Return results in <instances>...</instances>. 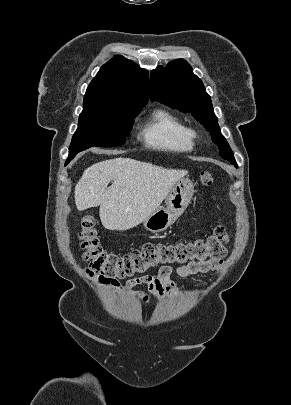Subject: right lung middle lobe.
<instances>
[{"label":"right lung middle lobe","mask_w":291,"mask_h":405,"mask_svg":"<svg viewBox=\"0 0 291 405\" xmlns=\"http://www.w3.org/2000/svg\"><path fill=\"white\" fill-rule=\"evenodd\" d=\"M141 108L126 109L119 107L83 108L79 116L78 128L69 147L66 164L75 155L92 146H118L126 142L132 129L134 118Z\"/></svg>","instance_id":"dd1d6c3e"}]
</instances>
